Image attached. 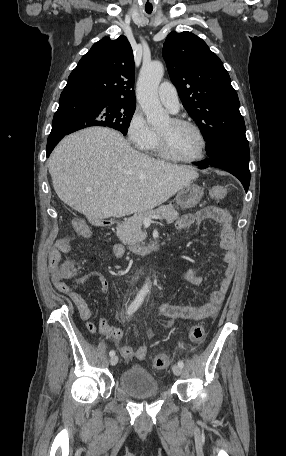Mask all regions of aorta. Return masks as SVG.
I'll list each match as a JSON object with an SVG mask.
<instances>
[{
    "label": "aorta",
    "mask_w": 286,
    "mask_h": 456,
    "mask_svg": "<svg viewBox=\"0 0 286 456\" xmlns=\"http://www.w3.org/2000/svg\"><path fill=\"white\" fill-rule=\"evenodd\" d=\"M164 75L163 64L153 61L144 64L137 82V99L150 125L157 126L169 120V114L162 107L158 98V86ZM151 282L146 279L143 289L149 290Z\"/></svg>",
    "instance_id": "1"
}]
</instances>
